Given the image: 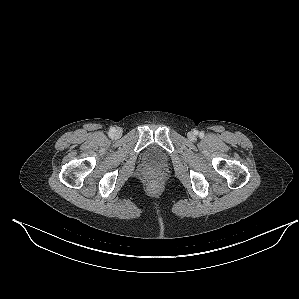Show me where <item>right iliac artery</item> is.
<instances>
[{
  "label": "right iliac artery",
  "instance_id": "1",
  "mask_svg": "<svg viewBox=\"0 0 299 299\" xmlns=\"http://www.w3.org/2000/svg\"><path fill=\"white\" fill-rule=\"evenodd\" d=\"M116 129L115 128H111L110 129V135H113L115 133Z\"/></svg>",
  "mask_w": 299,
  "mask_h": 299
}]
</instances>
